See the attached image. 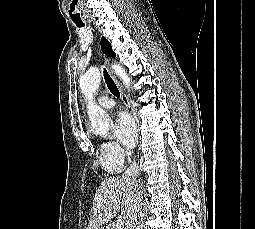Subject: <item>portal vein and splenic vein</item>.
I'll list each match as a JSON object with an SVG mask.
<instances>
[{
  "label": "portal vein and splenic vein",
  "instance_id": "18ae733b",
  "mask_svg": "<svg viewBox=\"0 0 255 229\" xmlns=\"http://www.w3.org/2000/svg\"><path fill=\"white\" fill-rule=\"evenodd\" d=\"M123 225H124V221L122 220V218L117 219L116 225H115L117 229H121Z\"/></svg>",
  "mask_w": 255,
  "mask_h": 229
}]
</instances>
